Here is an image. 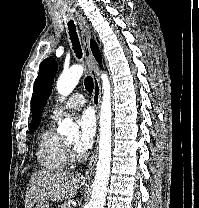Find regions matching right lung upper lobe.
Instances as JSON below:
<instances>
[{
  "instance_id": "obj_1",
  "label": "right lung upper lobe",
  "mask_w": 199,
  "mask_h": 208,
  "mask_svg": "<svg viewBox=\"0 0 199 208\" xmlns=\"http://www.w3.org/2000/svg\"><path fill=\"white\" fill-rule=\"evenodd\" d=\"M91 50L96 60L98 61V63L101 64V54H100L99 48L97 47L96 43L93 40L91 41Z\"/></svg>"
}]
</instances>
